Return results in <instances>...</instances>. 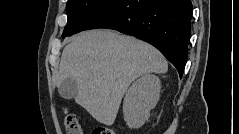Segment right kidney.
Here are the masks:
<instances>
[{
  "label": "right kidney",
  "mask_w": 239,
  "mask_h": 134,
  "mask_svg": "<svg viewBox=\"0 0 239 134\" xmlns=\"http://www.w3.org/2000/svg\"><path fill=\"white\" fill-rule=\"evenodd\" d=\"M160 79L146 74L136 80L127 90L123 102L124 120L129 128H139L149 117L159 99Z\"/></svg>",
  "instance_id": "right-kidney-1"
}]
</instances>
